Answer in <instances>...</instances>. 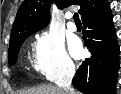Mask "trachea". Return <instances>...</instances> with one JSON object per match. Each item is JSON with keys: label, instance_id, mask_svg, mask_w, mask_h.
<instances>
[{"label": "trachea", "instance_id": "obj_1", "mask_svg": "<svg viewBox=\"0 0 121 94\" xmlns=\"http://www.w3.org/2000/svg\"><path fill=\"white\" fill-rule=\"evenodd\" d=\"M73 18L75 22H81L78 13H74Z\"/></svg>", "mask_w": 121, "mask_h": 94}]
</instances>
